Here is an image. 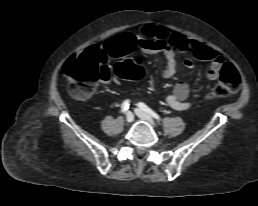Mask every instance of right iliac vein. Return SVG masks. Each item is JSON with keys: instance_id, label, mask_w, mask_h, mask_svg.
<instances>
[{"instance_id": "63e3f726", "label": "right iliac vein", "mask_w": 258, "mask_h": 206, "mask_svg": "<svg viewBox=\"0 0 258 206\" xmlns=\"http://www.w3.org/2000/svg\"><path fill=\"white\" fill-rule=\"evenodd\" d=\"M133 120H134V115H133V113H132V112H128V113L126 114V121H127L128 123H131V122H133Z\"/></svg>"}]
</instances>
